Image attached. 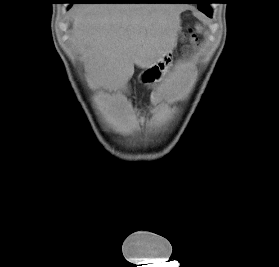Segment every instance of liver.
Returning a JSON list of instances; mask_svg holds the SVG:
<instances>
[{
	"mask_svg": "<svg viewBox=\"0 0 279 267\" xmlns=\"http://www.w3.org/2000/svg\"><path fill=\"white\" fill-rule=\"evenodd\" d=\"M183 9L159 3L80 6L71 41L93 78L116 90L130 80L134 65L146 69L174 49Z\"/></svg>",
	"mask_w": 279,
	"mask_h": 267,
	"instance_id": "6515ba94",
	"label": "liver"
}]
</instances>
